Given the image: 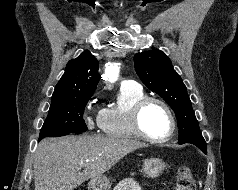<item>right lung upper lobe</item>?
Segmentation results:
<instances>
[{
    "label": "right lung upper lobe",
    "mask_w": 238,
    "mask_h": 190,
    "mask_svg": "<svg viewBox=\"0 0 238 190\" xmlns=\"http://www.w3.org/2000/svg\"><path fill=\"white\" fill-rule=\"evenodd\" d=\"M98 65L97 59L87 50L70 60L55 87L52 101L81 94H93L99 79Z\"/></svg>",
    "instance_id": "1"
}]
</instances>
